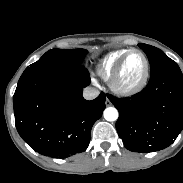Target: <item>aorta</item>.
Here are the masks:
<instances>
[{
    "label": "aorta",
    "mask_w": 183,
    "mask_h": 183,
    "mask_svg": "<svg viewBox=\"0 0 183 183\" xmlns=\"http://www.w3.org/2000/svg\"><path fill=\"white\" fill-rule=\"evenodd\" d=\"M103 115H104V118L107 121H110V122L115 121V120L118 119V111L114 107L106 108L103 112Z\"/></svg>",
    "instance_id": "aorta-1"
}]
</instances>
